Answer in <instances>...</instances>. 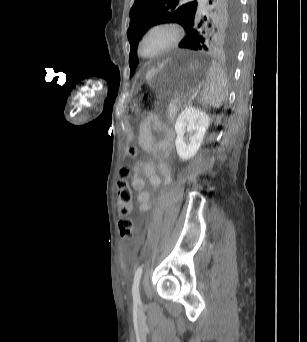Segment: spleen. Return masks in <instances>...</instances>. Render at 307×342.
<instances>
[{
  "label": "spleen",
  "instance_id": "1",
  "mask_svg": "<svg viewBox=\"0 0 307 342\" xmlns=\"http://www.w3.org/2000/svg\"><path fill=\"white\" fill-rule=\"evenodd\" d=\"M209 66L206 82L203 84V92L200 93V100L203 104H210L213 108H219L227 96V80L216 60Z\"/></svg>",
  "mask_w": 307,
  "mask_h": 342
}]
</instances>
